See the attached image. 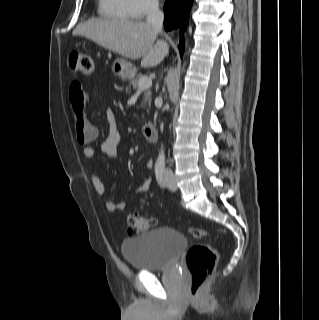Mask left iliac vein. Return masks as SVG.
I'll return each instance as SVG.
<instances>
[{
  "label": "left iliac vein",
  "instance_id": "obj_1",
  "mask_svg": "<svg viewBox=\"0 0 319 320\" xmlns=\"http://www.w3.org/2000/svg\"><path fill=\"white\" fill-rule=\"evenodd\" d=\"M164 182L169 190L175 191L177 189V185L174 178L165 175Z\"/></svg>",
  "mask_w": 319,
  "mask_h": 320
}]
</instances>
